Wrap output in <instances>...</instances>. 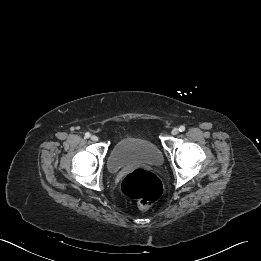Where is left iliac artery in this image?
Wrapping results in <instances>:
<instances>
[{
	"label": "left iliac artery",
	"mask_w": 261,
	"mask_h": 261,
	"mask_svg": "<svg viewBox=\"0 0 261 261\" xmlns=\"http://www.w3.org/2000/svg\"><path fill=\"white\" fill-rule=\"evenodd\" d=\"M179 131H180V132H183V131H185V126H183V125H182V126H180V127H179Z\"/></svg>",
	"instance_id": "left-iliac-artery-1"
}]
</instances>
